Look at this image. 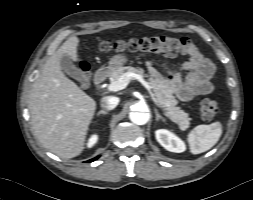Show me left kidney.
Listing matches in <instances>:
<instances>
[{"mask_svg":"<svg viewBox=\"0 0 253 200\" xmlns=\"http://www.w3.org/2000/svg\"><path fill=\"white\" fill-rule=\"evenodd\" d=\"M155 137L160 145L170 152L181 153L186 150L185 143L179 137L168 130H157L155 132Z\"/></svg>","mask_w":253,"mask_h":200,"instance_id":"left-kidney-1","label":"left kidney"}]
</instances>
